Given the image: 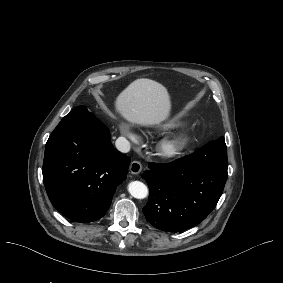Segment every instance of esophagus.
Listing matches in <instances>:
<instances>
[{
    "label": "esophagus",
    "instance_id": "obj_1",
    "mask_svg": "<svg viewBox=\"0 0 283 283\" xmlns=\"http://www.w3.org/2000/svg\"><path fill=\"white\" fill-rule=\"evenodd\" d=\"M129 169L132 174H138L142 170V164L139 161H133L130 164Z\"/></svg>",
    "mask_w": 283,
    "mask_h": 283
}]
</instances>
